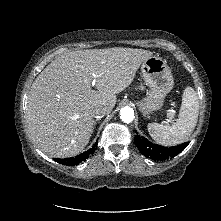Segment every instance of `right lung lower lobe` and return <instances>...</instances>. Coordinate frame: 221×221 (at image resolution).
Listing matches in <instances>:
<instances>
[{"mask_svg":"<svg viewBox=\"0 0 221 221\" xmlns=\"http://www.w3.org/2000/svg\"><path fill=\"white\" fill-rule=\"evenodd\" d=\"M96 146H97V142L88 151L83 152V153H81L80 155H78L76 157L65 158V159L55 158L54 160L56 162H58L59 164H63V165H66V166H75V165H78L79 163L85 161L91 155H93L94 151L96 150Z\"/></svg>","mask_w":221,"mask_h":221,"instance_id":"98d812e1","label":"right lung lower lobe"}]
</instances>
